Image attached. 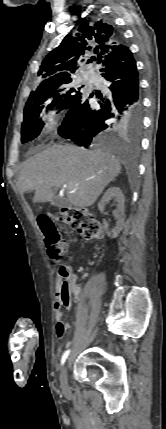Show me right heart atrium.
<instances>
[{"instance_id": "obj_1", "label": "right heart atrium", "mask_w": 166, "mask_h": 429, "mask_svg": "<svg viewBox=\"0 0 166 429\" xmlns=\"http://www.w3.org/2000/svg\"><path fill=\"white\" fill-rule=\"evenodd\" d=\"M57 117V111L53 108L49 109L44 116V122L47 127L54 125Z\"/></svg>"}]
</instances>
